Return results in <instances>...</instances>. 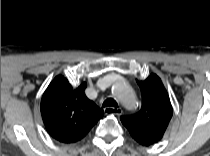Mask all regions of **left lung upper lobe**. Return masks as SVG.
<instances>
[{"label":"left lung upper lobe","instance_id":"5c2ea615","mask_svg":"<svg viewBox=\"0 0 210 156\" xmlns=\"http://www.w3.org/2000/svg\"><path fill=\"white\" fill-rule=\"evenodd\" d=\"M142 94L139 112L122 116L121 122L139 144L149 146L160 141L172 117V106L167 91L156 74L137 81Z\"/></svg>","mask_w":210,"mask_h":156}]
</instances>
